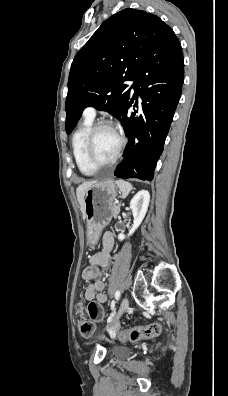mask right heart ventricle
Returning a JSON list of instances; mask_svg holds the SVG:
<instances>
[{
    "mask_svg": "<svg viewBox=\"0 0 228 396\" xmlns=\"http://www.w3.org/2000/svg\"><path fill=\"white\" fill-rule=\"evenodd\" d=\"M93 126V118L86 117L83 119L72 137V150L79 170L85 175H91L96 172V169L88 165L84 156V145L86 137Z\"/></svg>",
    "mask_w": 228,
    "mask_h": 396,
    "instance_id": "e07e8e85",
    "label": "right heart ventricle"
}]
</instances>
